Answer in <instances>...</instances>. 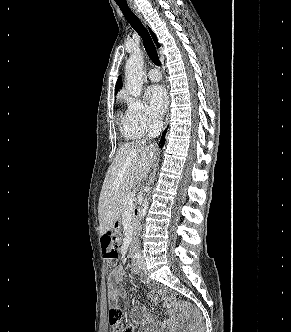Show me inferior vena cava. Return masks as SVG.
Returning <instances> with one entry per match:
<instances>
[{
    "label": "inferior vena cava",
    "mask_w": 291,
    "mask_h": 332,
    "mask_svg": "<svg viewBox=\"0 0 291 332\" xmlns=\"http://www.w3.org/2000/svg\"><path fill=\"white\" fill-rule=\"evenodd\" d=\"M162 129H163V122L161 120H154L149 128L148 138L150 139L158 137Z\"/></svg>",
    "instance_id": "602c4592"
}]
</instances>
